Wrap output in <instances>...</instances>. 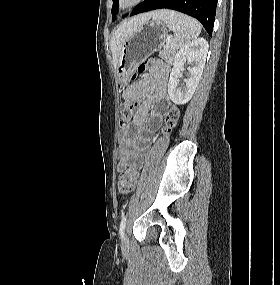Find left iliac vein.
Segmentation results:
<instances>
[{"mask_svg": "<svg viewBox=\"0 0 280 285\" xmlns=\"http://www.w3.org/2000/svg\"><path fill=\"white\" fill-rule=\"evenodd\" d=\"M123 242H124V243L127 242V236H126V234L123 236Z\"/></svg>", "mask_w": 280, "mask_h": 285, "instance_id": "obj_1", "label": "left iliac vein"}]
</instances>
